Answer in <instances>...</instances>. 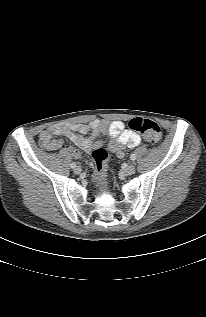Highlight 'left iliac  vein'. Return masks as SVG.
I'll return each mask as SVG.
<instances>
[{
  "mask_svg": "<svg viewBox=\"0 0 206 317\" xmlns=\"http://www.w3.org/2000/svg\"><path fill=\"white\" fill-rule=\"evenodd\" d=\"M135 169H136L135 166L133 164H130L123 170V172L125 175L130 176L134 174Z\"/></svg>",
  "mask_w": 206,
  "mask_h": 317,
  "instance_id": "4c4485c4",
  "label": "left iliac vein"
}]
</instances>
